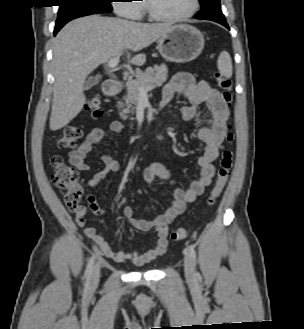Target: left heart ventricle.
Returning a JSON list of instances; mask_svg holds the SVG:
<instances>
[{
    "instance_id": "left-heart-ventricle-1",
    "label": "left heart ventricle",
    "mask_w": 304,
    "mask_h": 329,
    "mask_svg": "<svg viewBox=\"0 0 304 329\" xmlns=\"http://www.w3.org/2000/svg\"><path fill=\"white\" fill-rule=\"evenodd\" d=\"M152 3L157 12L168 16L184 14L193 6V0H152Z\"/></svg>"
}]
</instances>
